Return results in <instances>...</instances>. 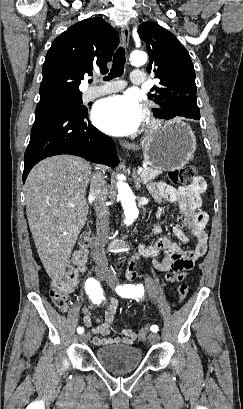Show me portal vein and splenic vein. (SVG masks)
<instances>
[{
  "mask_svg": "<svg viewBox=\"0 0 243 409\" xmlns=\"http://www.w3.org/2000/svg\"><path fill=\"white\" fill-rule=\"evenodd\" d=\"M137 173H138V175L142 174L143 173V168H138Z\"/></svg>",
  "mask_w": 243,
  "mask_h": 409,
  "instance_id": "obj_1",
  "label": "portal vein and splenic vein"
}]
</instances>
